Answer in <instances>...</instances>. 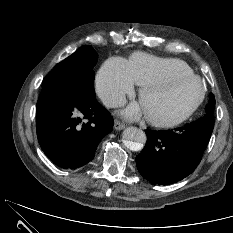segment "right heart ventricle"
<instances>
[{
    "instance_id": "right-heart-ventricle-1",
    "label": "right heart ventricle",
    "mask_w": 233,
    "mask_h": 233,
    "mask_svg": "<svg viewBox=\"0 0 233 233\" xmlns=\"http://www.w3.org/2000/svg\"><path fill=\"white\" fill-rule=\"evenodd\" d=\"M126 63L129 75L137 86L163 76L193 73L192 68L180 59L163 58L142 52L134 53Z\"/></svg>"
}]
</instances>
